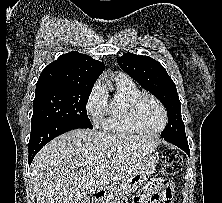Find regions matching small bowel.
Wrapping results in <instances>:
<instances>
[{
  "instance_id": "obj_1",
  "label": "small bowel",
  "mask_w": 222,
  "mask_h": 203,
  "mask_svg": "<svg viewBox=\"0 0 222 203\" xmlns=\"http://www.w3.org/2000/svg\"><path fill=\"white\" fill-rule=\"evenodd\" d=\"M160 186L156 183H151L146 192L139 195L134 203H171L172 201V193H173V184H167L162 193L160 194V198L158 194L155 193L158 191Z\"/></svg>"
}]
</instances>
